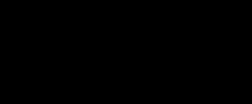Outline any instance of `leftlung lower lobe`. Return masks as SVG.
Returning <instances> with one entry per match:
<instances>
[{
  "label": "left lung lower lobe",
  "mask_w": 252,
  "mask_h": 104,
  "mask_svg": "<svg viewBox=\"0 0 252 104\" xmlns=\"http://www.w3.org/2000/svg\"><path fill=\"white\" fill-rule=\"evenodd\" d=\"M214 83L213 75L208 77H195L191 79H178L164 90L161 97L163 99H168L169 101H174V99L187 101L185 98L183 99V97L198 93V95H200V98H198L200 103H211L213 97L212 95L215 89Z\"/></svg>",
  "instance_id": "obj_1"
}]
</instances>
